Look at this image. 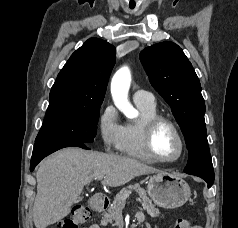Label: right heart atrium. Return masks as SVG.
Masks as SVG:
<instances>
[{
  "label": "right heart atrium",
  "mask_w": 238,
  "mask_h": 228,
  "mask_svg": "<svg viewBox=\"0 0 238 228\" xmlns=\"http://www.w3.org/2000/svg\"><path fill=\"white\" fill-rule=\"evenodd\" d=\"M98 130L104 149L106 151L118 150L122 124L113 105L108 104L101 111L98 118Z\"/></svg>",
  "instance_id": "d8ad5b80"
}]
</instances>
